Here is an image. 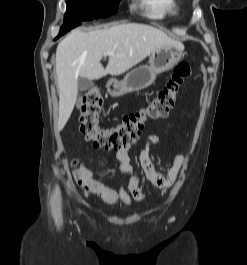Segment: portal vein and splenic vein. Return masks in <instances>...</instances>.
<instances>
[{
    "mask_svg": "<svg viewBox=\"0 0 247 265\" xmlns=\"http://www.w3.org/2000/svg\"><path fill=\"white\" fill-rule=\"evenodd\" d=\"M104 55H105V56H106V55H114V53H113V52H106Z\"/></svg>",
    "mask_w": 247,
    "mask_h": 265,
    "instance_id": "1",
    "label": "portal vein and splenic vein"
}]
</instances>
